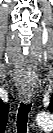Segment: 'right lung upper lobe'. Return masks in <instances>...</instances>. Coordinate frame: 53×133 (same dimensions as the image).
<instances>
[{
  "instance_id": "obj_1",
  "label": "right lung upper lobe",
  "mask_w": 53,
  "mask_h": 133,
  "mask_svg": "<svg viewBox=\"0 0 53 133\" xmlns=\"http://www.w3.org/2000/svg\"><path fill=\"white\" fill-rule=\"evenodd\" d=\"M9 105L4 104L2 101L0 102V123L5 127V124L7 123V115H8Z\"/></svg>"
}]
</instances>
